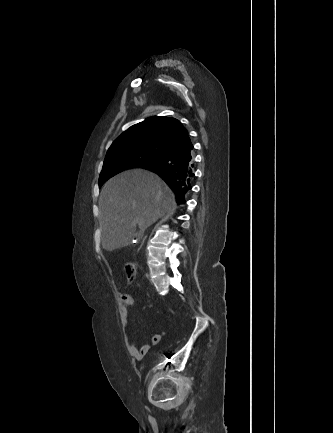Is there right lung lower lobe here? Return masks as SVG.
<instances>
[{"label":"right lung lower lobe","instance_id":"obj_1","mask_svg":"<svg viewBox=\"0 0 333 433\" xmlns=\"http://www.w3.org/2000/svg\"><path fill=\"white\" fill-rule=\"evenodd\" d=\"M146 168L157 173L172 188L178 204L185 203L184 195L191 190L194 177L192 143L169 153L161 161Z\"/></svg>","mask_w":333,"mask_h":433}]
</instances>
